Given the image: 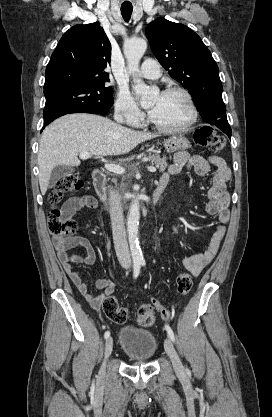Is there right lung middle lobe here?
<instances>
[{
    "mask_svg": "<svg viewBox=\"0 0 272 417\" xmlns=\"http://www.w3.org/2000/svg\"><path fill=\"white\" fill-rule=\"evenodd\" d=\"M44 122L73 109H92L107 114L113 105V90L104 85L59 87L44 91Z\"/></svg>",
    "mask_w": 272,
    "mask_h": 417,
    "instance_id": "right-lung-middle-lobe-1",
    "label": "right lung middle lobe"
}]
</instances>
